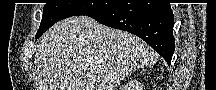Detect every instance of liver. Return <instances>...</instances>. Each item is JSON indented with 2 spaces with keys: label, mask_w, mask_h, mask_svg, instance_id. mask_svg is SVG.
<instances>
[{
  "label": "liver",
  "mask_w": 216,
  "mask_h": 90,
  "mask_svg": "<svg viewBox=\"0 0 216 90\" xmlns=\"http://www.w3.org/2000/svg\"><path fill=\"white\" fill-rule=\"evenodd\" d=\"M37 48V90H115L128 74L154 60L146 42L88 16L54 24Z\"/></svg>",
  "instance_id": "liver-1"
}]
</instances>
